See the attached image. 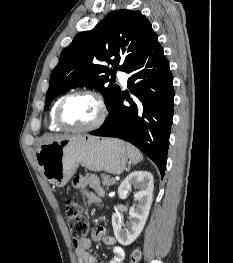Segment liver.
Masks as SVG:
<instances>
[{"label":"liver","instance_id":"1","mask_svg":"<svg viewBox=\"0 0 233 263\" xmlns=\"http://www.w3.org/2000/svg\"><path fill=\"white\" fill-rule=\"evenodd\" d=\"M66 137L68 136L57 135V134H45L38 140L37 148H39L42 144H46V143L53 142V141H58Z\"/></svg>","mask_w":233,"mask_h":263}]
</instances>
